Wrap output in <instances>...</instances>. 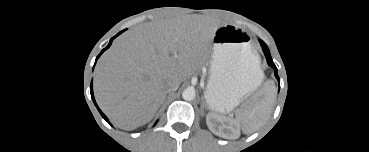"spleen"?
Instances as JSON below:
<instances>
[{
  "label": "spleen",
  "mask_w": 369,
  "mask_h": 152,
  "mask_svg": "<svg viewBox=\"0 0 369 152\" xmlns=\"http://www.w3.org/2000/svg\"><path fill=\"white\" fill-rule=\"evenodd\" d=\"M276 97L275 84L267 82L243 109L236 112V120L245 133H252L269 118Z\"/></svg>",
  "instance_id": "obj_1"
}]
</instances>
